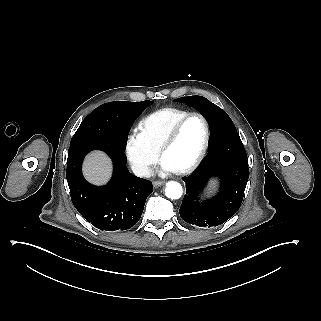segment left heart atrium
Instances as JSON below:
<instances>
[{"label":"left heart atrium","instance_id":"39dd6f15","mask_svg":"<svg viewBox=\"0 0 321 321\" xmlns=\"http://www.w3.org/2000/svg\"><path fill=\"white\" fill-rule=\"evenodd\" d=\"M156 170L162 176L178 171L171 161L164 156L160 158Z\"/></svg>","mask_w":321,"mask_h":321}]
</instances>
